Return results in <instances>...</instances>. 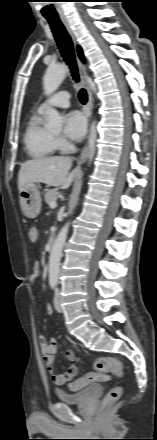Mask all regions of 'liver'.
I'll return each mask as SVG.
<instances>
[{
  "label": "liver",
  "mask_w": 157,
  "mask_h": 440,
  "mask_svg": "<svg viewBox=\"0 0 157 440\" xmlns=\"http://www.w3.org/2000/svg\"><path fill=\"white\" fill-rule=\"evenodd\" d=\"M72 160L56 156L33 159L22 164L18 175L19 192L28 185L44 183L52 187L67 189L71 186L78 168L71 173Z\"/></svg>",
  "instance_id": "1"
}]
</instances>
